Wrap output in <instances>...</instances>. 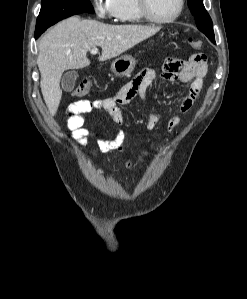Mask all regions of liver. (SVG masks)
<instances>
[{"label": "liver", "instance_id": "obj_1", "mask_svg": "<svg viewBox=\"0 0 247 299\" xmlns=\"http://www.w3.org/2000/svg\"><path fill=\"white\" fill-rule=\"evenodd\" d=\"M161 28L142 25H109L96 20L67 18L50 29L40 40L37 64L40 87L51 116L57 112L62 90L60 80L68 69L90 65L87 52L102 48L99 61L117 57L155 35Z\"/></svg>", "mask_w": 247, "mask_h": 299}]
</instances>
